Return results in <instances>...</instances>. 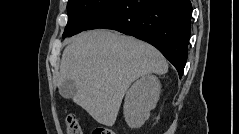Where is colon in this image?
I'll return each instance as SVG.
<instances>
[{"instance_id":"colon-1","label":"colon","mask_w":239,"mask_h":134,"mask_svg":"<svg viewBox=\"0 0 239 134\" xmlns=\"http://www.w3.org/2000/svg\"><path fill=\"white\" fill-rule=\"evenodd\" d=\"M65 122L69 134L81 133L78 120L74 114L71 113L66 114ZM93 134H115V132L109 128L99 127L94 130Z\"/></svg>"}]
</instances>
